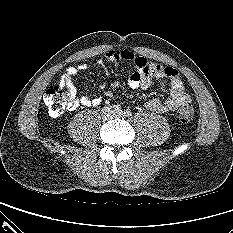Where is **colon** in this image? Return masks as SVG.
<instances>
[{"instance_id": "colon-1", "label": "colon", "mask_w": 233, "mask_h": 233, "mask_svg": "<svg viewBox=\"0 0 233 233\" xmlns=\"http://www.w3.org/2000/svg\"><path fill=\"white\" fill-rule=\"evenodd\" d=\"M72 97L61 85H54L44 94V104L51 116H59L64 109L70 104ZM195 110L190 103L182 105L179 111V119L183 123L193 120Z\"/></svg>"}]
</instances>
